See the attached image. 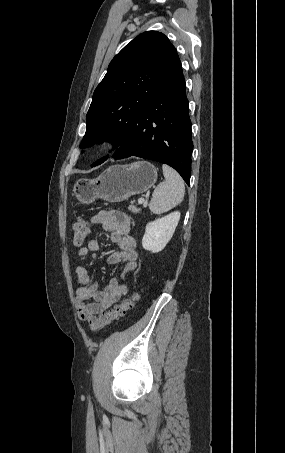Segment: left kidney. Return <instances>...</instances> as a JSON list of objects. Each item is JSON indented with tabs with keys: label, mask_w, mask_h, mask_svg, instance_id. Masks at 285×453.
<instances>
[{
	"label": "left kidney",
	"mask_w": 285,
	"mask_h": 453,
	"mask_svg": "<svg viewBox=\"0 0 285 453\" xmlns=\"http://www.w3.org/2000/svg\"><path fill=\"white\" fill-rule=\"evenodd\" d=\"M180 220V212H172L149 222L142 238V246L153 253L162 251L172 238Z\"/></svg>",
	"instance_id": "5707ae66"
}]
</instances>
